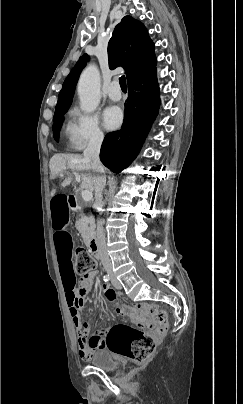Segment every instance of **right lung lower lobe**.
<instances>
[{
	"label": "right lung lower lobe",
	"instance_id": "1",
	"mask_svg": "<svg viewBox=\"0 0 243 404\" xmlns=\"http://www.w3.org/2000/svg\"><path fill=\"white\" fill-rule=\"evenodd\" d=\"M160 105L156 68L128 83L121 130L106 135L100 151L102 163L120 173L137 156Z\"/></svg>",
	"mask_w": 243,
	"mask_h": 404
}]
</instances>
